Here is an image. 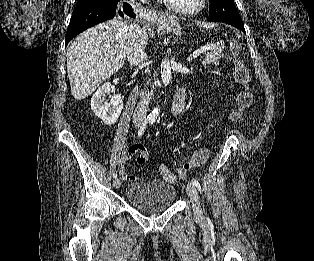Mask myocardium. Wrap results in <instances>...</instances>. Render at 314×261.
<instances>
[{"label": "myocardium", "mask_w": 314, "mask_h": 261, "mask_svg": "<svg viewBox=\"0 0 314 261\" xmlns=\"http://www.w3.org/2000/svg\"><path fill=\"white\" fill-rule=\"evenodd\" d=\"M166 6L175 13L181 15H195L200 13L207 6L208 0H198L193 6L183 7L179 6L171 1H166Z\"/></svg>", "instance_id": "myocardium-1"}]
</instances>
